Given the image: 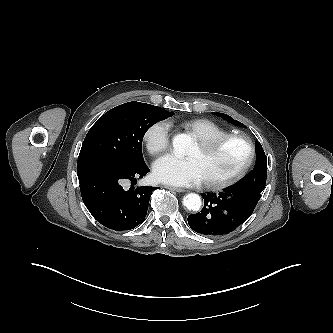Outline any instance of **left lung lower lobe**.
Wrapping results in <instances>:
<instances>
[{
  "label": "left lung lower lobe",
  "instance_id": "0a47b994",
  "mask_svg": "<svg viewBox=\"0 0 333 333\" xmlns=\"http://www.w3.org/2000/svg\"><path fill=\"white\" fill-rule=\"evenodd\" d=\"M203 209L188 216L189 226L206 236L227 234L243 224L253 213L260 195L231 187L219 193L201 194Z\"/></svg>",
  "mask_w": 333,
  "mask_h": 333
}]
</instances>
